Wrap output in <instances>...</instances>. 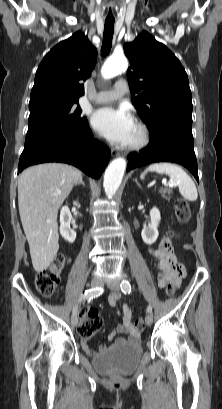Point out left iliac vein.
I'll use <instances>...</instances> for the list:
<instances>
[{"label":"left iliac vein","instance_id":"4c4485c4","mask_svg":"<svg viewBox=\"0 0 222 409\" xmlns=\"http://www.w3.org/2000/svg\"><path fill=\"white\" fill-rule=\"evenodd\" d=\"M107 286H108L111 290H113V291H115V292H119V290H120V282H119L118 279H114V280L109 281V282L107 283ZM145 322H146V325H148V326L151 325L152 322H153V316H152L151 314H148V315L146 316V318H145Z\"/></svg>","mask_w":222,"mask_h":409}]
</instances>
